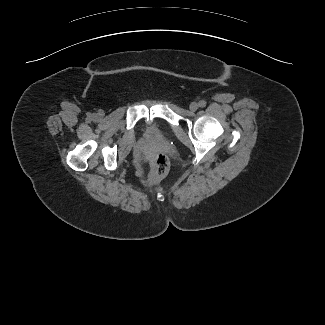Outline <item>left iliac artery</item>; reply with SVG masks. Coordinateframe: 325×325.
<instances>
[{
  "label": "left iliac artery",
  "instance_id": "1",
  "mask_svg": "<svg viewBox=\"0 0 325 325\" xmlns=\"http://www.w3.org/2000/svg\"><path fill=\"white\" fill-rule=\"evenodd\" d=\"M199 106L200 107H205L206 106V101L205 100H201V101H199Z\"/></svg>",
  "mask_w": 325,
  "mask_h": 325
}]
</instances>
